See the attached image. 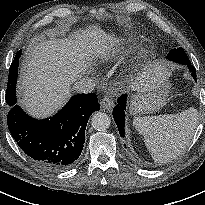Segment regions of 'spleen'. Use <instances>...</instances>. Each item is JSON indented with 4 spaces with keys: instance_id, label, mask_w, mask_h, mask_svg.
I'll return each instance as SVG.
<instances>
[{
    "instance_id": "spleen-1",
    "label": "spleen",
    "mask_w": 205,
    "mask_h": 205,
    "mask_svg": "<svg viewBox=\"0 0 205 205\" xmlns=\"http://www.w3.org/2000/svg\"><path fill=\"white\" fill-rule=\"evenodd\" d=\"M198 122L195 108L177 114L134 117L133 125L143 136L152 158L167 163L189 145Z\"/></svg>"
}]
</instances>
